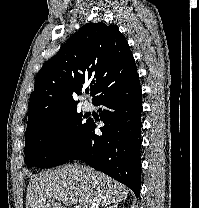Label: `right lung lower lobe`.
<instances>
[{"instance_id": "98d812e1", "label": "right lung lower lobe", "mask_w": 199, "mask_h": 208, "mask_svg": "<svg viewBox=\"0 0 199 208\" xmlns=\"http://www.w3.org/2000/svg\"><path fill=\"white\" fill-rule=\"evenodd\" d=\"M103 105L100 120L102 134L96 135V124L89 121L81 141L69 160L80 159L128 186L139 196L141 183V112L142 92L139 75L114 87L94 102Z\"/></svg>"}]
</instances>
